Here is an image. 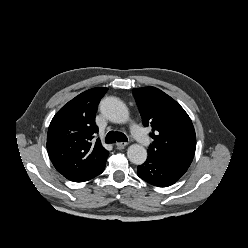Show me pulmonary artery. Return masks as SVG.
<instances>
[{"label":"pulmonary artery","instance_id":"obj_1","mask_svg":"<svg viewBox=\"0 0 248 248\" xmlns=\"http://www.w3.org/2000/svg\"><path fill=\"white\" fill-rule=\"evenodd\" d=\"M131 132L134 138L142 145V146H148L150 143V139L148 135L143 131L141 127H139L137 124H133L131 127Z\"/></svg>","mask_w":248,"mask_h":248}]
</instances>
